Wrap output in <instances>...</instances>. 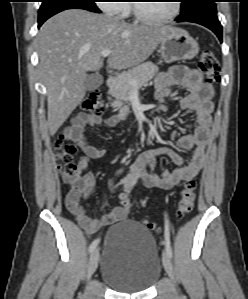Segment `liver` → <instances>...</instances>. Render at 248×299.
<instances>
[{
  "instance_id": "6515ba94",
  "label": "liver",
  "mask_w": 248,
  "mask_h": 299,
  "mask_svg": "<svg viewBox=\"0 0 248 299\" xmlns=\"http://www.w3.org/2000/svg\"><path fill=\"white\" fill-rule=\"evenodd\" d=\"M172 27L129 24L118 18L69 9L48 19L37 35L39 72L47 88V118L53 136L85 96L88 71L108 65L127 69L148 59Z\"/></svg>"
}]
</instances>
